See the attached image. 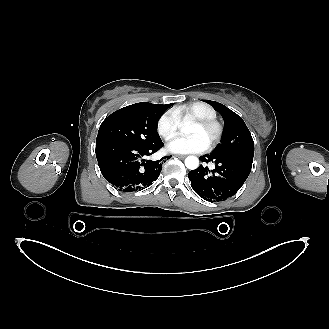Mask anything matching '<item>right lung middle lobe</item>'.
I'll list each match as a JSON object with an SVG mask.
<instances>
[{
	"label": "right lung middle lobe",
	"instance_id": "dd1d6c3e",
	"mask_svg": "<svg viewBox=\"0 0 329 329\" xmlns=\"http://www.w3.org/2000/svg\"><path fill=\"white\" fill-rule=\"evenodd\" d=\"M173 104L136 103L117 110L101 124L96 143L116 141L135 145H152L161 141L157 132L160 116Z\"/></svg>",
	"mask_w": 329,
	"mask_h": 329
}]
</instances>
